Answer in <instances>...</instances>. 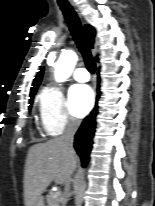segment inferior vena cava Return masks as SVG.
<instances>
[{
    "mask_svg": "<svg viewBox=\"0 0 155 206\" xmlns=\"http://www.w3.org/2000/svg\"><path fill=\"white\" fill-rule=\"evenodd\" d=\"M79 125H80V123L78 120L74 119L73 117H69L65 131H64L63 135L60 137L65 149L69 153H72L74 151L73 140H74V135H75ZM68 189H69V181L66 184V190H68Z\"/></svg>",
    "mask_w": 155,
    "mask_h": 206,
    "instance_id": "inferior-vena-cava-1",
    "label": "inferior vena cava"
}]
</instances>
